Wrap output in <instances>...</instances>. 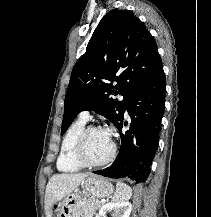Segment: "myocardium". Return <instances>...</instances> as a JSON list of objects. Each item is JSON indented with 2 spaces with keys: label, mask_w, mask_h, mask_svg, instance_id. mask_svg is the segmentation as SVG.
Listing matches in <instances>:
<instances>
[{
  "label": "myocardium",
  "mask_w": 211,
  "mask_h": 217,
  "mask_svg": "<svg viewBox=\"0 0 211 217\" xmlns=\"http://www.w3.org/2000/svg\"><path fill=\"white\" fill-rule=\"evenodd\" d=\"M94 130H102V129L97 126H93V125L85 127L80 133L77 139L76 145H75V151H74L75 158L82 167L104 166L110 163L116 155V151H117L116 144L114 141H112L111 151L106 158L100 161H92L88 158L87 153H86L87 137H88V134Z\"/></svg>",
  "instance_id": "myocardium-1"
}]
</instances>
